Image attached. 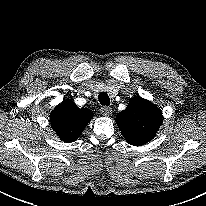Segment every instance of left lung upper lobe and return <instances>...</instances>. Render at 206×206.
Returning a JSON list of instances; mask_svg holds the SVG:
<instances>
[{
    "instance_id": "left-lung-upper-lobe-1",
    "label": "left lung upper lobe",
    "mask_w": 206,
    "mask_h": 206,
    "mask_svg": "<svg viewBox=\"0 0 206 206\" xmlns=\"http://www.w3.org/2000/svg\"><path fill=\"white\" fill-rule=\"evenodd\" d=\"M116 123L129 144L141 146L155 137L162 113L148 100L134 97L127 108L117 114Z\"/></svg>"
}]
</instances>
